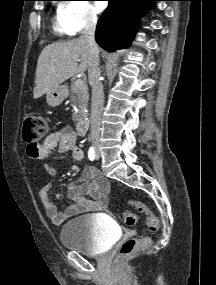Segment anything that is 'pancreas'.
<instances>
[{
    "mask_svg": "<svg viewBox=\"0 0 216 285\" xmlns=\"http://www.w3.org/2000/svg\"><path fill=\"white\" fill-rule=\"evenodd\" d=\"M69 97L77 108L73 115V120L77 121L87 115V105L89 101L88 86L84 81L83 85L77 87L75 82L71 84Z\"/></svg>",
    "mask_w": 216,
    "mask_h": 285,
    "instance_id": "obj_1",
    "label": "pancreas"
}]
</instances>
